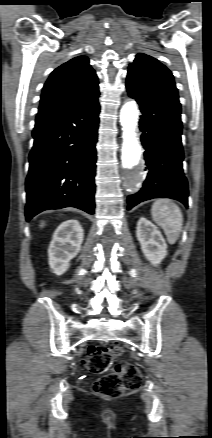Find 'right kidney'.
<instances>
[{
	"label": "right kidney",
	"instance_id": "1",
	"mask_svg": "<svg viewBox=\"0 0 212 438\" xmlns=\"http://www.w3.org/2000/svg\"><path fill=\"white\" fill-rule=\"evenodd\" d=\"M83 238V228L74 219L63 222L55 230L48 256L50 268L56 275H62L69 268L70 260L80 251Z\"/></svg>",
	"mask_w": 212,
	"mask_h": 438
}]
</instances>
